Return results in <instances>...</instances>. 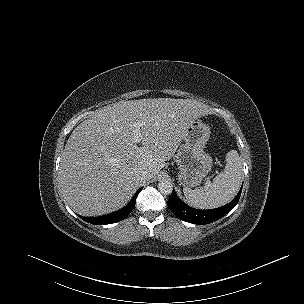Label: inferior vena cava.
Returning <instances> with one entry per match:
<instances>
[{
    "instance_id": "inferior-vena-cava-1",
    "label": "inferior vena cava",
    "mask_w": 304,
    "mask_h": 304,
    "mask_svg": "<svg viewBox=\"0 0 304 304\" xmlns=\"http://www.w3.org/2000/svg\"><path fill=\"white\" fill-rule=\"evenodd\" d=\"M136 173L139 180L146 181L149 178V173L146 170L139 169Z\"/></svg>"
}]
</instances>
